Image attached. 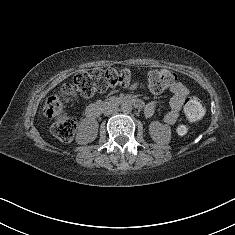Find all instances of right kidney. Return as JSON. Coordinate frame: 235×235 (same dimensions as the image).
<instances>
[{
    "label": "right kidney",
    "mask_w": 235,
    "mask_h": 235,
    "mask_svg": "<svg viewBox=\"0 0 235 235\" xmlns=\"http://www.w3.org/2000/svg\"><path fill=\"white\" fill-rule=\"evenodd\" d=\"M90 130H92L94 132L89 136V138H86L85 140L83 138H81L80 139L81 141H79V142H84L85 141V142L88 143V142L93 141L96 138L97 130H98V122L96 120H87V121H85L79 129V135L84 136Z\"/></svg>",
    "instance_id": "obj_1"
}]
</instances>
